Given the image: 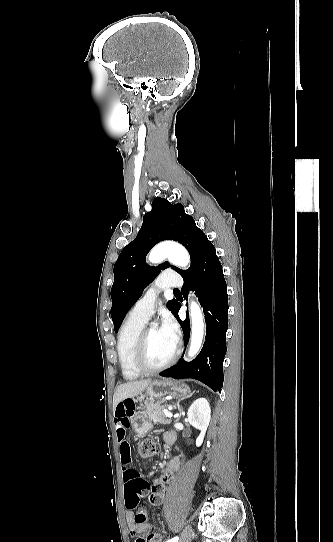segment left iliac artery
Listing matches in <instances>:
<instances>
[{
  "instance_id": "44dca946",
  "label": "left iliac artery",
  "mask_w": 333,
  "mask_h": 542,
  "mask_svg": "<svg viewBox=\"0 0 333 542\" xmlns=\"http://www.w3.org/2000/svg\"><path fill=\"white\" fill-rule=\"evenodd\" d=\"M178 539H179L178 537H174L166 542H178Z\"/></svg>"
}]
</instances>
